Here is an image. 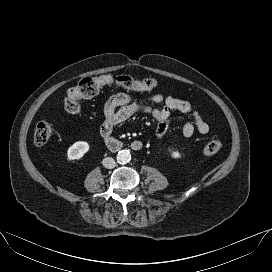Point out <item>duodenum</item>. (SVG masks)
Wrapping results in <instances>:
<instances>
[{
	"label": "duodenum",
	"mask_w": 272,
	"mask_h": 272,
	"mask_svg": "<svg viewBox=\"0 0 272 272\" xmlns=\"http://www.w3.org/2000/svg\"><path fill=\"white\" fill-rule=\"evenodd\" d=\"M104 139L107 147L113 152H118L124 147V144L116 138L106 136ZM129 147L131 150L138 152L144 148V143L141 140H134L129 144Z\"/></svg>",
	"instance_id": "duodenum-1"
}]
</instances>
